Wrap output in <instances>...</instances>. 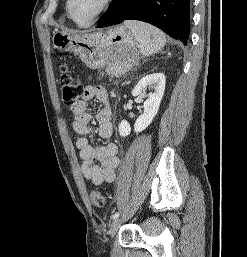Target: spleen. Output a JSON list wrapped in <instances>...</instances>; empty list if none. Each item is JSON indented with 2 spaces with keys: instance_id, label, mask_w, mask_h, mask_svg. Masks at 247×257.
Segmentation results:
<instances>
[{
  "instance_id": "1",
  "label": "spleen",
  "mask_w": 247,
  "mask_h": 257,
  "mask_svg": "<svg viewBox=\"0 0 247 257\" xmlns=\"http://www.w3.org/2000/svg\"><path fill=\"white\" fill-rule=\"evenodd\" d=\"M138 42L140 52L144 56L157 53L166 44L165 34L158 28L140 21H125Z\"/></svg>"
}]
</instances>
